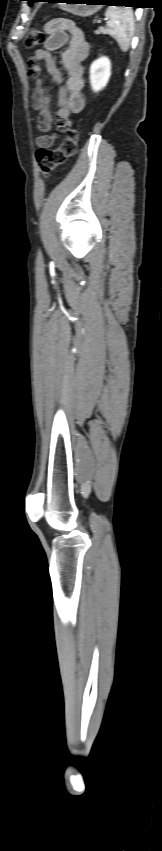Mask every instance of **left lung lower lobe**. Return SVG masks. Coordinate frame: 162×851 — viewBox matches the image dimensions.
<instances>
[{"instance_id": "obj_1", "label": "left lung lower lobe", "mask_w": 162, "mask_h": 851, "mask_svg": "<svg viewBox=\"0 0 162 851\" xmlns=\"http://www.w3.org/2000/svg\"><path fill=\"white\" fill-rule=\"evenodd\" d=\"M37 1H41V0H37ZM44 1L56 2L57 0H44ZM101 1L104 2L106 5H118V6H122V5L123 6H129V4L136 3V0H101Z\"/></svg>"}]
</instances>
